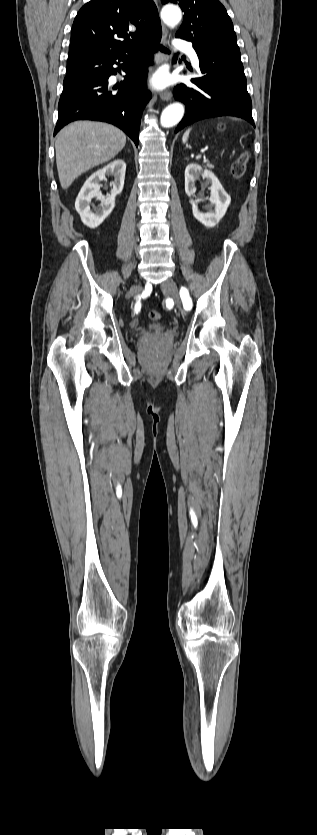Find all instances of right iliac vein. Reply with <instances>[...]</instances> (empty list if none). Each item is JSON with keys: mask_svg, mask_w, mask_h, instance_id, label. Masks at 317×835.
I'll use <instances>...</instances> for the list:
<instances>
[{"mask_svg": "<svg viewBox=\"0 0 317 835\" xmlns=\"http://www.w3.org/2000/svg\"><path fill=\"white\" fill-rule=\"evenodd\" d=\"M141 289L140 285H136L135 288L132 289V293H136Z\"/></svg>", "mask_w": 317, "mask_h": 835, "instance_id": "right-iliac-vein-1", "label": "right iliac vein"}]
</instances>
